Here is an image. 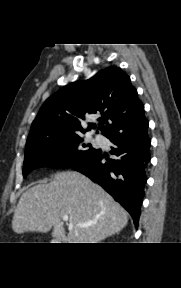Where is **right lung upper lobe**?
Instances as JSON below:
<instances>
[{"label":"right lung upper lobe","instance_id":"cb5924a9","mask_svg":"<svg viewBox=\"0 0 181 288\" xmlns=\"http://www.w3.org/2000/svg\"><path fill=\"white\" fill-rule=\"evenodd\" d=\"M88 114H101L99 129L107 138L137 136L148 128L144 106L130 78L118 67H108L89 80L76 81L49 97L32 123L28 140L53 133H85L96 128L81 120Z\"/></svg>","mask_w":181,"mask_h":288}]
</instances>
